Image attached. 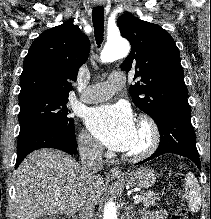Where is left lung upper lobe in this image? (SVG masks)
Returning a JSON list of instances; mask_svg holds the SVG:
<instances>
[{"mask_svg":"<svg viewBox=\"0 0 211 219\" xmlns=\"http://www.w3.org/2000/svg\"><path fill=\"white\" fill-rule=\"evenodd\" d=\"M117 25L131 43L121 68L136 69L129 93L135 105L155 120L171 106H189L179 50L171 35L159 25L122 15Z\"/></svg>","mask_w":211,"mask_h":219,"instance_id":"5c2ea615","label":"left lung upper lobe"}]
</instances>
